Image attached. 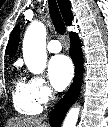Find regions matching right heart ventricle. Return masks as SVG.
I'll list each match as a JSON object with an SVG mask.
<instances>
[{"instance_id": "1", "label": "right heart ventricle", "mask_w": 108, "mask_h": 127, "mask_svg": "<svg viewBox=\"0 0 108 127\" xmlns=\"http://www.w3.org/2000/svg\"><path fill=\"white\" fill-rule=\"evenodd\" d=\"M14 108L23 115H36L41 111V105L36 101L29 83L17 78L12 91Z\"/></svg>"}]
</instances>
